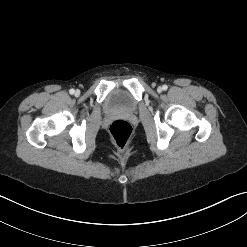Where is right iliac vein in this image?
Wrapping results in <instances>:
<instances>
[{
    "label": "right iliac vein",
    "instance_id": "63e3f726",
    "mask_svg": "<svg viewBox=\"0 0 247 247\" xmlns=\"http://www.w3.org/2000/svg\"><path fill=\"white\" fill-rule=\"evenodd\" d=\"M75 95L76 96H79L80 95V91L79 90H76Z\"/></svg>",
    "mask_w": 247,
    "mask_h": 247
}]
</instances>
